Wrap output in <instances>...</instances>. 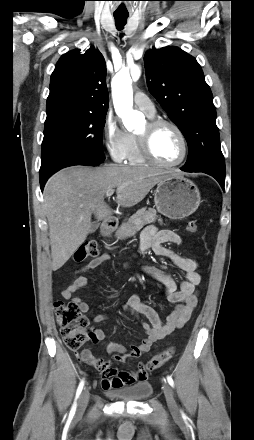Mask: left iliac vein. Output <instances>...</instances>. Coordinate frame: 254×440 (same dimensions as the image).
<instances>
[{
    "mask_svg": "<svg viewBox=\"0 0 254 440\" xmlns=\"http://www.w3.org/2000/svg\"><path fill=\"white\" fill-rule=\"evenodd\" d=\"M164 394H165V398L167 401V405L169 407V410L173 413V414H178L179 413V409L178 406L176 404V401L174 399V393L172 388L168 385V384H164Z\"/></svg>",
    "mask_w": 254,
    "mask_h": 440,
    "instance_id": "left-iliac-vein-1",
    "label": "left iliac vein"
}]
</instances>
